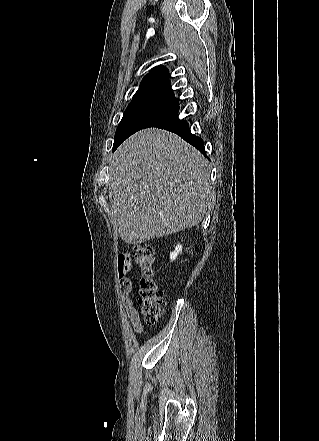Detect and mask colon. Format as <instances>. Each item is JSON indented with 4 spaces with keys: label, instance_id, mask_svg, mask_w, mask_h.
Listing matches in <instances>:
<instances>
[{
    "label": "colon",
    "instance_id": "1",
    "mask_svg": "<svg viewBox=\"0 0 319 441\" xmlns=\"http://www.w3.org/2000/svg\"><path fill=\"white\" fill-rule=\"evenodd\" d=\"M133 259L140 270L136 291L141 313L147 324L156 325L164 314L165 302L155 279V251L149 244L137 245L133 249ZM119 277L123 285L125 275L121 265Z\"/></svg>",
    "mask_w": 319,
    "mask_h": 441
}]
</instances>
